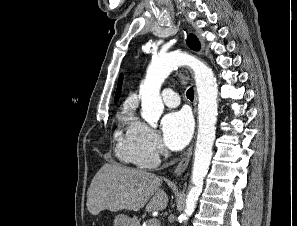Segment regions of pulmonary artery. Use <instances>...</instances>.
Returning a JSON list of instances; mask_svg holds the SVG:
<instances>
[{"label":"pulmonary artery","mask_w":297,"mask_h":226,"mask_svg":"<svg viewBox=\"0 0 297 226\" xmlns=\"http://www.w3.org/2000/svg\"><path fill=\"white\" fill-rule=\"evenodd\" d=\"M162 100L168 107H176L180 103L178 94L173 89H164L162 91Z\"/></svg>","instance_id":"obj_1"}]
</instances>
